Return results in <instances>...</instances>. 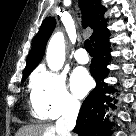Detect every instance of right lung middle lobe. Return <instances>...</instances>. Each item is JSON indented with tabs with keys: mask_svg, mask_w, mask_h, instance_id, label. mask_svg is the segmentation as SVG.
<instances>
[{
	"mask_svg": "<svg viewBox=\"0 0 136 136\" xmlns=\"http://www.w3.org/2000/svg\"><path fill=\"white\" fill-rule=\"evenodd\" d=\"M28 77V75H26V76H24L23 78H22V81H25V79Z\"/></svg>",
	"mask_w": 136,
	"mask_h": 136,
	"instance_id": "1",
	"label": "right lung middle lobe"
}]
</instances>
